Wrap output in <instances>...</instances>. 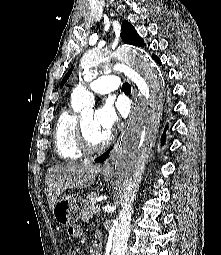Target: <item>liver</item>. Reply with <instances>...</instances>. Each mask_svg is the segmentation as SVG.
<instances>
[{
  "label": "liver",
  "mask_w": 221,
  "mask_h": 255,
  "mask_svg": "<svg viewBox=\"0 0 221 255\" xmlns=\"http://www.w3.org/2000/svg\"><path fill=\"white\" fill-rule=\"evenodd\" d=\"M101 171L100 165L91 162H70L49 168L45 177V194L50 210L65 190L91 186Z\"/></svg>",
  "instance_id": "6515ba94"
}]
</instances>
